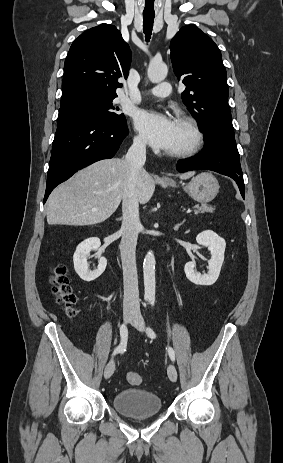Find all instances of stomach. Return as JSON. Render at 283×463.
<instances>
[{"mask_svg":"<svg viewBox=\"0 0 283 463\" xmlns=\"http://www.w3.org/2000/svg\"><path fill=\"white\" fill-rule=\"evenodd\" d=\"M171 187H177L175 182L165 183ZM184 191L194 200L207 203L213 200L219 192V183L214 175L202 172L194 177L189 183L182 184Z\"/></svg>","mask_w":283,"mask_h":463,"instance_id":"stomach-1","label":"stomach"}]
</instances>
